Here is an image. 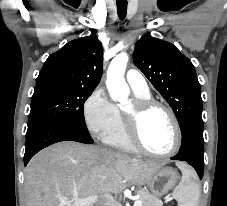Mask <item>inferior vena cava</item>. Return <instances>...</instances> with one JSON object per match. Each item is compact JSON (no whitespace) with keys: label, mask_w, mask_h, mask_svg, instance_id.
<instances>
[{"label":"inferior vena cava","mask_w":227,"mask_h":206,"mask_svg":"<svg viewBox=\"0 0 227 206\" xmlns=\"http://www.w3.org/2000/svg\"><path fill=\"white\" fill-rule=\"evenodd\" d=\"M106 199H107L106 205H107V206H110L109 203H110V201L112 200L111 194L106 195Z\"/></svg>","instance_id":"inferior-vena-cava-1"}]
</instances>
